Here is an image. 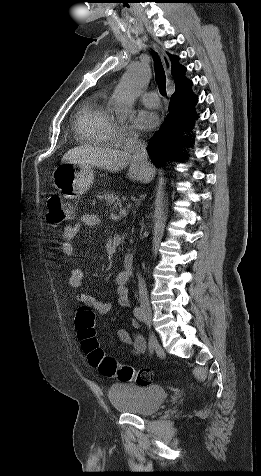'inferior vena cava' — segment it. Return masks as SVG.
Wrapping results in <instances>:
<instances>
[{
	"mask_svg": "<svg viewBox=\"0 0 261 476\" xmlns=\"http://www.w3.org/2000/svg\"><path fill=\"white\" fill-rule=\"evenodd\" d=\"M125 151L129 153H133V157L136 160L140 161L141 163L150 164L148 162V153L146 150V144L139 140L138 134L136 133L131 134V136L128 138L126 142ZM138 288H139L140 306L146 311H150L148 292L144 284V280L142 278H139Z\"/></svg>",
	"mask_w": 261,
	"mask_h": 476,
	"instance_id": "obj_1",
	"label": "inferior vena cava"
}]
</instances>
